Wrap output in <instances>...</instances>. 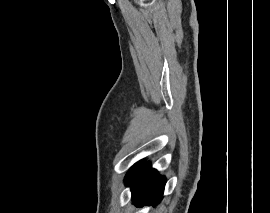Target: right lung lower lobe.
Listing matches in <instances>:
<instances>
[{
	"label": "right lung lower lobe",
	"instance_id": "obj_1",
	"mask_svg": "<svg viewBox=\"0 0 270 213\" xmlns=\"http://www.w3.org/2000/svg\"><path fill=\"white\" fill-rule=\"evenodd\" d=\"M165 182V178L150 168L149 162L144 161L135 164L125 178V183L131 187L133 202L137 206L159 203Z\"/></svg>",
	"mask_w": 270,
	"mask_h": 213
}]
</instances>
